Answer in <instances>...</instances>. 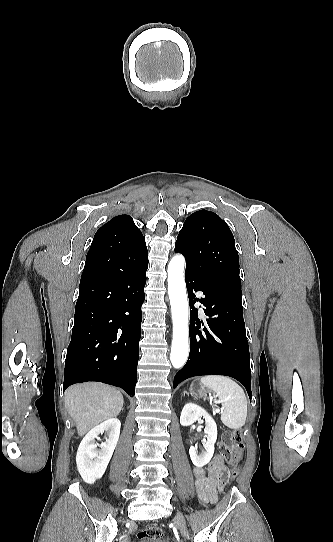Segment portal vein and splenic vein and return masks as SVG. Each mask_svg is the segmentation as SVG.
<instances>
[{
	"label": "portal vein and splenic vein",
	"instance_id": "obj_1",
	"mask_svg": "<svg viewBox=\"0 0 333 542\" xmlns=\"http://www.w3.org/2000/svg\"><path fill=\"white\" fill-rule=\"evenodd\" d=\"M215 412H220V410H215Z\"/></svg>",
	"mask_w": 333,
	"mask_h": 542
}]
</instances>
